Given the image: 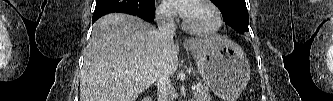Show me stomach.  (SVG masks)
<instances>
[{
    "label": "stomach",
    "mask_w": 333,
    "mask_h": 101,
    "mask_svg": "<svg viewBox=\"0 0 333 101\" xmlns=\"http://www.w3.org/2000/svg\"><path fill=\"white\" fill-rule=\"evenodd\" d=\"M198 70L215 95L236 101L245 89L250 66L240 46L226 37H210L190 45Z\"/></svg>",
    "instance_id": "1"
}]
</instances>
